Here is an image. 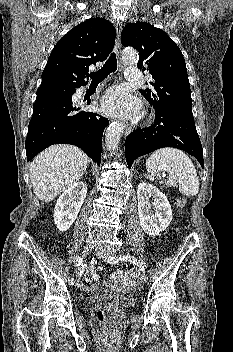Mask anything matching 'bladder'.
<instances>
[{
	"instance_id": "1",
	"label": "bladder",
	"mask_w": 233,
	"mask_h": 352,
	"mask_svg": "<svg viewBox=\"0 0 233 352\" xmlns=\"http://www.w3.org/2000/svg\"><path fill=\"white\" fill-rule=\"evenodd\" d=\"M86 303H105L127 308L134 303V297L130 294H120L103 286H96L86 297Z\"/></svg>"
}]
</instances>
